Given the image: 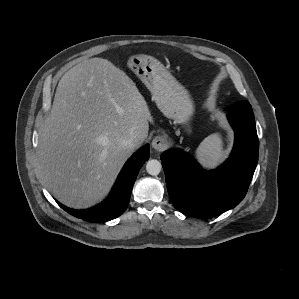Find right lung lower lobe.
<instances>
[{"mask_svg":"<svg viewBox=\"0 0 299 299\" xmlns=\"http://www.w3.org/2000/svg\"><path fill=\"white\" fill-rule=\"evenodd\" d=\"M149 156L150 148L147 144L126 162L111 196L102 204L85 211H75L59 204L60 207L71 215L88 222H105L117 218L125 211L138 172Z\"/></svg>","mask_w":299,"mask_h":299,"instance_id":"obj_1","label":"right lung lower lobe"}]
</instances>
